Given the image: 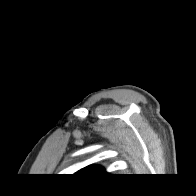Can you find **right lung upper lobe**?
<instances>
[{"label":"right lung upper lobe","mask_w":196,"mask_h":196,"mask_svg":"<svg viewBox=\"0 0 196 196\" xmlns=\"http://www.w3.org/2000/svg\"><path fill=\"white\" fill-rule=\"evenodd\" d=\"M77 173L82 174V175H102V174H106L105 170L103 168L96 167V166H88V167L80 170Z\"/></svg>","instance_id":"cb5924a9"}]
</instances>
